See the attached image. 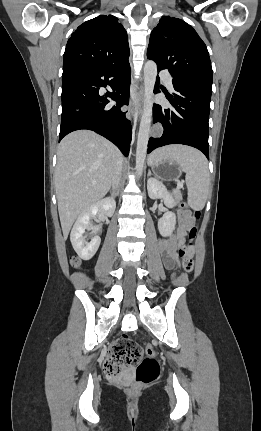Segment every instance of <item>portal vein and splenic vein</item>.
I'll list each match as a JSON object with an SVG mask.
<instances>
[{"label":"portal vein and splenic vein","mask_w":261,"mask_h":431,"mask_svg":"<svg viewBox=\"0 0 261 431\" xmlns=\"http://www.w3.org/2000/svg\"><path fill=\"white\" fill-rule=\"evenodd\" d=\"M95 184V183H94ZM183 187V184L181 183V182H178L177 183V188H176V190H178V189H180V188H182Z\"/></svg>","instance_id":"1"}]
</instances>
